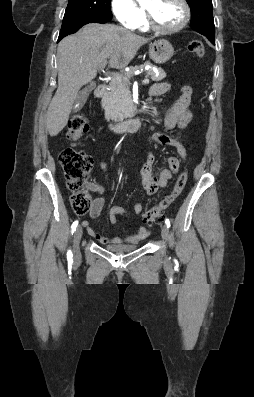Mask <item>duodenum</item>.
<instances>
[{
	"label": "duodenum",
	"mask_w": 254,
	"mask_h": 397,
	"mask_svg": "<svg viewBox=\"0 0 254 397\" xmlns=\"http://www.w3.org/2000/svg\"><path fill=\"white\" fill-rule=\"evenodd\" d=\"M107 94V86L99 85L95 90V95L98 98H103ZM142 126V119L138 115H133L129 119L121 121H109L108 128L115 133H125L139 130Z\"/></svg>",
	"instance_id": "obj_1"
}]
</instances>
